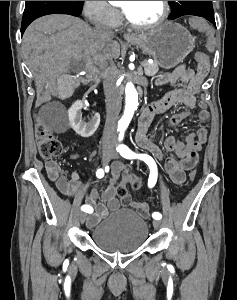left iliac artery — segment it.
<instances>
[{
  "label": "left iliac artery",
  "instance_id": "obj_1",
  "mask_svg": "<svg viewBox=\"0 0 237 300\" xmlns=\"http://www.w3.org/2000/svg\"><path fill=\"white\" fill-rule=\"evenodd\" d=\"M123 139V135L119 137V140L121 141ZM117 152L120 153L121 156H123L126 159H140L143 160L150 168V175L148 179V187L152 188L157 181V166L153 158L147 154H136L132 150H130L126 145L120 144L116 147ZM152 217L156 220H160L162 218V215L159 212H154L152 214Z\"/></svg>",
  "mask_w": 237,
  "mask_h": 300
}]
</instances>
